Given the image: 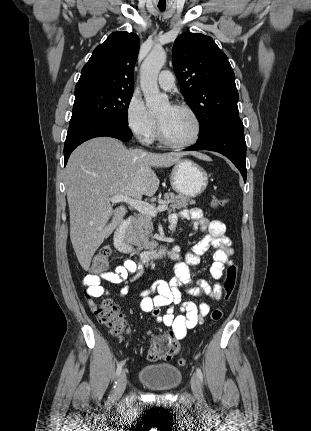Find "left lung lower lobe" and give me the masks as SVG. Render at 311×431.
<instances>
[{
    "instance_id": "obj_1",
    "label": "left lung lower lobe",
    "mask_w": 311,
    "mask_h": 431,
    "mask_svg": "<svg viewBox=\"0 0 311 431\" xmlns=\"http://www.w3.org/2000/svg\"><path fill=\"white\" fill-rule=\"evenodd\" d=\"M186 150L216 151L229 158L246 181V142L241 120L226 122Z\"/></svg>"
}]
</instances>
